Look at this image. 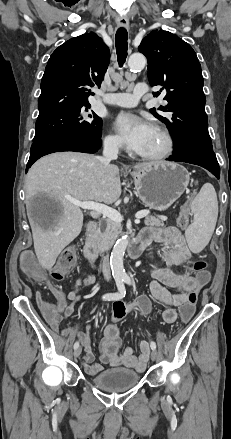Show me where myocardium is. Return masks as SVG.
<instances>
[{
    "label": "myocardium",
    "instance_id": "1",
    "mask_svg": "<svg viewBox=\"0 0 231 439\" xmlns=\"http://www.w3.org/2000/svg\"><path fill=\"white\" fill-rule=\"evenodd\" d=\"M154 128L156 130H158L161 133V135L163 136V138L165 140V147L161 152L156 153V154L138 153V155L145 160H151V161L162 160V159L169 157L174 151L175 142H174V138H173L171 132L166 127H164L162 125H155Z\"/></svg>",
    "mask_w": 231,
    "mask_h": 439
}]
</instances>
